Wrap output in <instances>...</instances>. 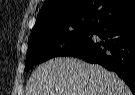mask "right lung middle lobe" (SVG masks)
<instances>
[{
  "instance_id": "1",
  "label": "right lung middle lobe",
  "mask_w": 135,
  "mask_h": 95,
  "mask_svg": "<svg viewBox=\"0 0 135 95\" xmlns=\"http://www.w3.org/2000/svg\"><path fill=\"white\" fill-rule=\"evenodd\" d=\"M92 34H94L93 30H78L62 34L45 33L31 36L25 71L53 57L74 55L93 41L90 37Z\"/></svg>"
}]
</instances>
